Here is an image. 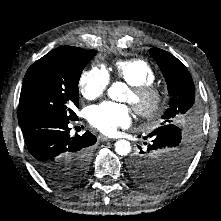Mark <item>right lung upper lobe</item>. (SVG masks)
Masks as SVG:
<instances>
[{
    "label": "right lung upper lobe",
    "mask_w": 221,
    "mask_h": 221,
    "mask_svg": "<svg viewBox=\"0 0 221 221\" xmlns=\"http://www.w3.org/2000/svg\"><path fill=\"white\" fill-rule=\"evenodd\" d=\"M87 50H83L77 47L72 46H63L57 49L52 50L46 57H64V56H76L80 54H84Z\"/></svg>",
    "instance_id": "1"
}]
</instances>
